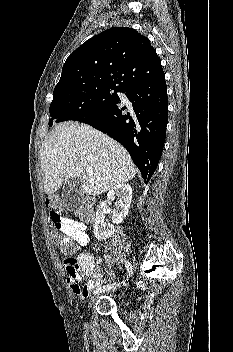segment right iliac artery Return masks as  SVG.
Returning a JSON list of instances; mask_svg holds the SVG:
<instances>
[{
    "label": "right iliac artery",
    "mask_w": 233,
    "mask_h": 352,
    "mask_svg": "<svg viewBox=\"0 0 233 352\" xmlns=\"http://www.w3.org/2000/svg\"><path fill=\"white\" fill-rule=\"evenodd\" d=\"M124 264H125V267H126L127 272H128V276L127 277H129L133 273V267H132V265H131V263L129 261L125 260ZM123 282H121V283H123ZM119 284L120 283H118V282L117 283H112V284H107L106 286H102V287L97 288L94 293H98V292H102V291H105V290H109V289H111L113 287L118 286Z\"/></svg>",
    "instance_id": "1"
}]
</instances>
